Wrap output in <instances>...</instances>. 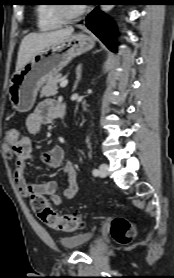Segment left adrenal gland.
<instances>
[{
	"instance_id": "left-adrenal-gland-1",
	"label": "left adrenal gland",
	"mask_w": 174,
	"mask_h": 278,
	"mask_svg": "<svg viewBox=\"0 0 174 278\" xmlns=\"http://www.w3.org/2000/svg\"><path fill=\"white\" fill-rule=\"evenodd\" d=\"M80 79H81V65H78L76 69V81L73 86V91L77 88Z\"/></svg>"
}]
</instances>
